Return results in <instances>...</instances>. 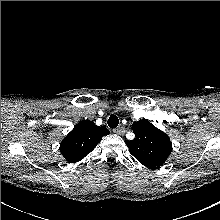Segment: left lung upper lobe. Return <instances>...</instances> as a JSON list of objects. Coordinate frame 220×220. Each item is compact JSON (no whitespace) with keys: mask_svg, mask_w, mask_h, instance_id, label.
<instances>
[{"mask_svg":"<svg viewBox=\"0 0 220 220\" xmlns=\"http://www.w3.org/2000/svg\"><path fill=\"white\" fill-rule=\"evenodd\" d=\"M133 140H126L131 155L150 168L162 166L172 151L169 137L147 119L134 122Z\"/></svg>","mask_w":220,"mask_h":220,"instance_id":"1","label":"left lung upper lobe"}]
</instances>
